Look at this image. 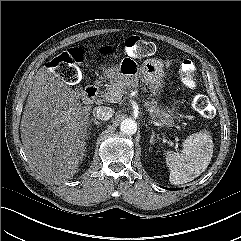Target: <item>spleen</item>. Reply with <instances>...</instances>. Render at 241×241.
<instances>
[{
	"mask_svg": "<svg viewBox=\"0 0 241 241\" xmlns=\"http://www.w3.org/2000/svg\"><path fill=\"white\" fill-rule=\"evenodd\" d=\"M213 147L212 136L204 129L184 140L181 153L167 151L165 159L170 170V183L179 185L197 178L208 167Z\"/></svg>",
	"mask_w": 241,
	"mask_h": 241,
	"instance_id": "3e777b00",
	"label": "spleen"
}]
</instances>
